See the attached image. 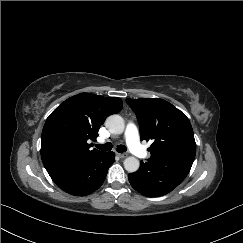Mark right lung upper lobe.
Returning <instances> with one entry per match:
<instances>
[{
  "label": "right lung upper lobe",
  "instance_id": "1",
  "mask_svg": "<svg viewBox=\"0 0 243 243\" xmlns=\"http://www.w3.org/2000/svg\"><path fill=\"white\" fill-rule=\"evenodd\" d=\"M117 97L80 93L60 104L47 118L41 157L47 172L82 163L103 153L93 146L105 119L122 109Z\"/></svg>",
  "mask_w": 243,
  "mask_h": 243
}]
</instances>
